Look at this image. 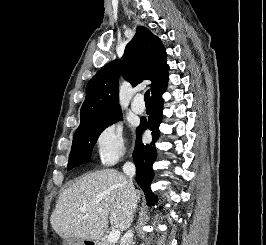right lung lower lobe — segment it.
<instances>
[{
    "label": "right lung lower lobe",
    "mask_w": 266,
    "mask_h": 245,
    "mask_svg": "<svg viewBox=\"0 0 266 245\" xmlns=\"http://www.w3.org/2000/svg\"><path fill=\"white\" fill-rule=\"evenodd\" d=\"M165 89L166 86L159 92L152 95V113L148 117V120H141L140 126L137 129L138 139L133 152V159L137 169L136 182L142 188L148 205L153 204L155 201V196L152 194L150 189V183L153 178L152 164L156 158V148L153 146V143L150 145H144L141 142L140 136L142 131L148 128L152 131L153 142L159 138L158 126L162 119L163 109V99L161 95Z\"/></svg>",
    "instance_id": "right-lung-lower-lobe-1"
}]
</instances>
